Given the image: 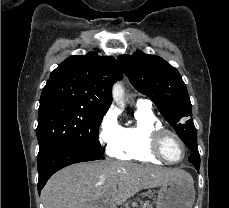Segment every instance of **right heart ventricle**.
Listing matches in <instances>:
<instances>
[{
	"label": "right heart ventricle",
	"mask_w": 229,
	"mask_h": 208,
	"mask_svg": "<svg viewBox=\"0 0 229 208\" xmlns=\"http://www.w3.org/2000/svg\"><path fill=\"white\" fill-rule=\"evenodd\" d=\"M135 122L127 127H121L120 142L113 151V155L124 161H136L163 165L162 158H154L149 153L152 148L154 132L163 127L151 108L139 106L134 113Z\"/></svg>",
	"instance_id": "obj_1"
}]
</instances>
